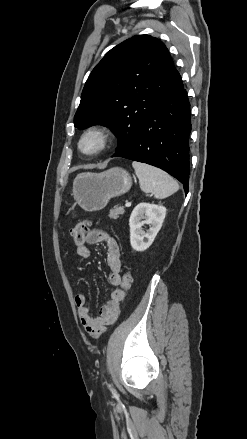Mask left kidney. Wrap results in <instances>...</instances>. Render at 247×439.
I'll use <instances>...</instances> for the list:
<instances>
[{
    "instance_id": "left-kidney-1",
    "label": "left kidney",
    "mask_w": 247,
    "mask_h": 439,
    "mask_svg": "<svg viewBox=\"0 0 247 439\" xmlns=\"http://www.w3.org/2000/svg\"><path fill=\"white\" fill-rule=\"evenodd\" d=\"M166 215L164 206L140 203L131 213L129 219L130 244L135 251H144L151 246L159 230L162 227ZM147 224L150 228L147 232L142 227Z\"/></svg>"
}]
</instances>
